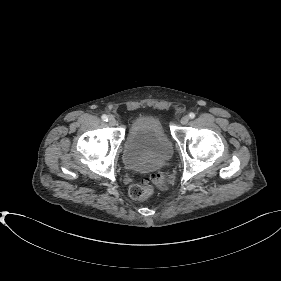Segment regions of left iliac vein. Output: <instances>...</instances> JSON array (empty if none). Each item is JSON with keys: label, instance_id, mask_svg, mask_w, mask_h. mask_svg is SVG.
<instances>
[{"label": "left iliac vein", "instance_id": "1", "mask_svg": "<svg viewBox=\"0 0 281 281\" xmlns=\"http://www.w3.org/2000/svg\"><path fill=\"white\" fill-rule=\"evenodd\" d=\"M188 121H189V117H188V116H183V117L181 118V120H180V123H181L182 125H186V124L188 123Z\"/></svg>", "mask_w": 281, "mask_h": 281}]
</instances>
